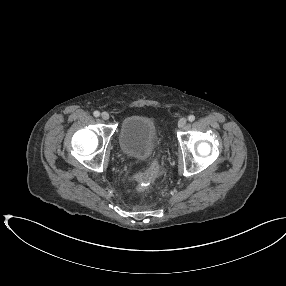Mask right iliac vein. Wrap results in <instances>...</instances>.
<instances>
[{
    "mask_svg": "<svg viewBox=\"0 0 286 286\" xmlns=\"http://www.w3.org/2000/svg\"><path fill=\"white\" fill-rule=\"evenodd\" d=\"M101 117H102L103 120H108L110 118V116H109V114L107 112H103L101 114Z\"/></svg>",
    "mask_w": 286,
    "mask_h": 286,
    "instance_id": "1",
    "label": "right iliac vein"
}]
</instances>
